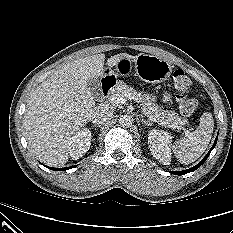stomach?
<instances>
[{"label":"stomach","instance_id":"stomach-1","mask_svg":"<svg viewBox=\"0 0 233 233\" xmlns=\"http://www.w3.org/2000/svg\"><path fill=\"white\" fill-rule=\"evenodd\" d=\"M131 62L135 63V70L137 76L152 84H157L167 80L172 72V65L165 59L149 54H139L135 59L123 58L120 65L127 64L130 67Z\"/></svg>","mask_w":233,"mask_h":233}]
</instances>
